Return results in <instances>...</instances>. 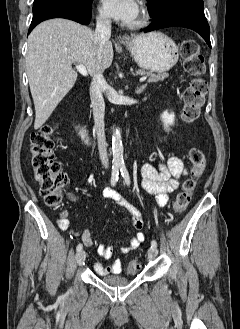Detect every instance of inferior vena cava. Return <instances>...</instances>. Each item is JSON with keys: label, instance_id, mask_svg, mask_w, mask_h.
I'll return each mask as SVG.
<instances>
[{"label": "inferior vena cava", "instance_id": "obj_1", "mask_svg": "<svg viewBox=\"0 0 240 329\" xmlns=\"http://www.w3.org/2000/svg\"><path fill=\"white\" fill-rule=\"evenodd\" d=\"M111 37V21L105 16L96 18V30L94 32V43L97 46V68L92 74L90 86L91 107L93 109L94 130L97 134L98 150L100 160L105 168H108L109 161L107 155V143L104 129L105 102L103 91L107 88V83L100 69L101 52L103 46Z\"/></svg>", "mask_w": 240, "mask_h": 329}]
</instances>
